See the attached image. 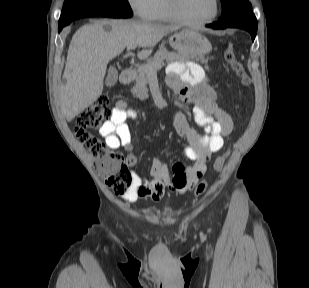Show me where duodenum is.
<instances>
[{"mask_svg":"<svg viewBox=\"0 0 309 288\" xmlns=\"http://www.w3.org/2000/svg\"><path fill=\"white\" fill-rule=\"evenodd\" d=\"M134 78V71L130 68L124 69L121 73H120V83L125 85L130 83Z\"/></svg>","mask_w":309,"mask_h":288,"instance_id":"410a0bca","label":"duodenum"}]
</instances>
